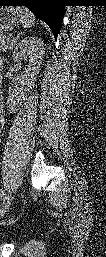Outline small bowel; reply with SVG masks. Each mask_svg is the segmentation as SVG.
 Wrapping results in <instances>:
<instances>
[{"mask_svg":"<svg viewBox=\"0 0 106 257\" xmlns=\"http://www.w3.org/2000/svg\"><path fill=\"white\" fill-rule=\"evenodd\" d=\"M2 106V105H1ZM1 126L3 124V115H2V107H1V117H0Z\"/></svg>","mask_w":106,"mask_h":257,"instance_id":"small-bowel-1","label":"small bowel"}]
</instances>
